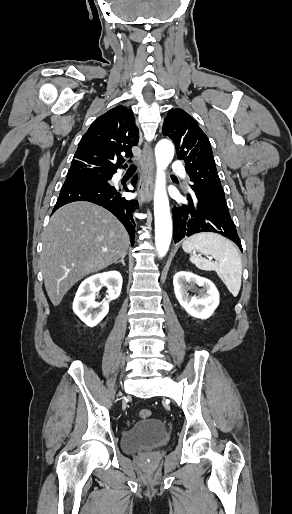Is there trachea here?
Returning a JSON list of instances; mask_svg holds the SVG:
<instances>
[{
    "instance_id": "trachea-1",
    "label": "trachea",
    "mask_w": 292,
    "mask_h": 514,
    "mask_svg": "<svg viewBox=\"0 0 292 514\" xmlns=\"http://www.w3.org/2000/svg\"><path fill=\"white\" fill-rule=\"evenodd\" d=\"M136 169H137L136 165L131 164L128 170H136Z\"/></svg>"
}]
</instances>
